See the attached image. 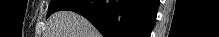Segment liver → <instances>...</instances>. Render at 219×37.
<instances>
[{
	"instance_id": "6515ba94",
	"label": "liver",
	"mask_w": 219,
	"mask_h": 37,
	"mask_svg": "<svg viewBox=\"0 0 219 37\" xmlns=\"http://www.w3.org/2000/svg\"><path fill=\"white\" fill-rule=\"evenodd\" d=\"M48 37H97L91 23L81 15L64 10L53 14L47 22Z\"/></svg>"
}]
</instances>
